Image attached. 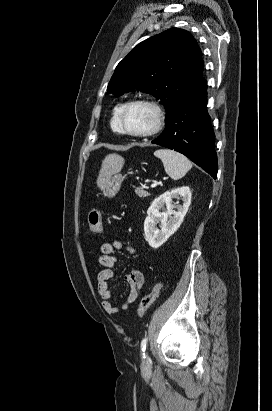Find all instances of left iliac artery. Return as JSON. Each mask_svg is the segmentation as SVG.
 Wrapping results in <instances>:
<instances>
[{
	"label": "left iliac artery",
	"mask_w": 272,
	"mask_h": 411,
	"mask_svg": "<svg viewBox=\"0 0 272 411\" xmlns=\"http://www.w3.org/2000/svg\"><path fill=\"white\" fill-rule=\"evenodd\" d=\"M146 344H147V337L143 338V340L141 341V352H142L143 358H145Z\"/></svg>",
	"instance_id": "44dca946"
}]
</instances>
